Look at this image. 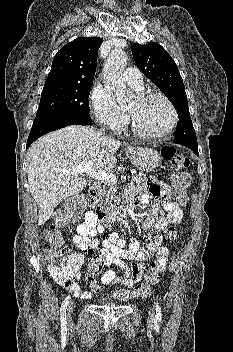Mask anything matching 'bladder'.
<instances>
[{"instance_id":"1","label":"bladder","mask_w":233,"mask_h":352,"mask_svg":"<svg viewBox=\"0 0 233 352\" xmlns=\"http://www.w3.org/2000/svg\"><path fill=\"white\" fill-rule=\"evenodd\" d=\"M98 301L101 304H112L114 302L113 299L108 295H100Z\"/></svg>"}]
</instances>
